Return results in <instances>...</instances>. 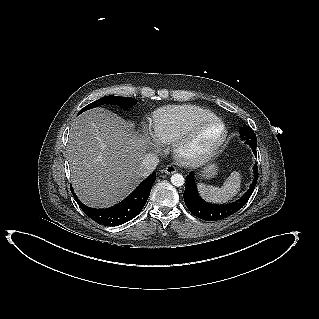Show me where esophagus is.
I'll return each instance as SVG.
<instances>
[{"instance_id": "1", "label": "esophagus", "mask_w": 319, "mask_h": 319, "mask_svg": "<svg viewBox=\"0 0 319 319\" xmlns=\"http://www.w3.org/2000/svg\"><path fill=\"white\" fill-rule=\"evenodd\" d=\"M177 171L176 167H174L173 165H167L166 168L164 169V172L166 174H173Z\"/></svg>"}]
</instances>
